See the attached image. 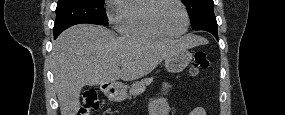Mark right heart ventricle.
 <instances>
[{
	"label": "right heart ventricle",
	"instance_id": "1",
	"mask_svg": "<svg viewBox=\"0 0 285 115\" xmlns=\"http://www.w3.org/2000/svg\"><path fill=\"white\" fill-rule=\"evenodd\" d=\"M156 0L122 1L117 10V29L128 37L164 39L165 35L151 24L149 15Z\"/></svg>",
	"mask_w": 285,
	"mask_h": 115
}]
</instances>
